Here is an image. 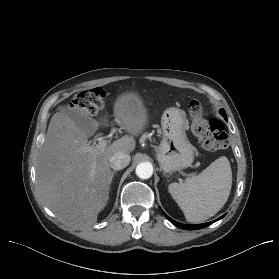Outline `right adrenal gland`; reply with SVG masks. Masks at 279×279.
<instances>
[{
	"label": "right adrenal gland",
	"mask_w": 279,
	"mask_h": 279,
	"mask_svg": "<svg viewBox=\"0 0 279 279\" xmlns=\"http://www.w3.org/2000/svg\"><path fill=\"white\" fill-rule=\"evenodd\" d=\"M116 173V170H114L113 172H112V175H111V179L114 177V174Z\"/></svg>",
	"instance_id": "1"
}]
</instances>
